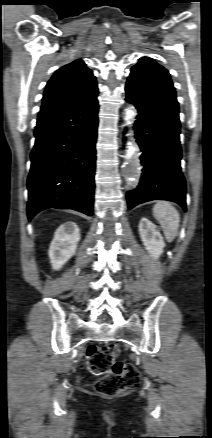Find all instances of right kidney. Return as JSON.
<instances>
[{
	"mask_svg": "<svg viewBox=\"0 0 212 438\" xmlns=\"http://www.w3.org/2000/svg\"><path fill=\"white\" fill-rule=\"evenodd\" d=\"M79 240L80 230L76 223L66 222L59 226L48 251L54 269H60L75 254Z\"/></svg>",
	"mask_w": 212,
	"mask_h": 438,
	"instance_id": "obj_1",
	"label": "right kidney"
}]
</instances>
